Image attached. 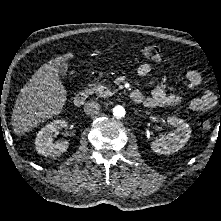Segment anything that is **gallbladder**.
Listing matches in <instances>:
<instances>
[{"mask_svg":"<svg viewBox=\"0 0 221 221\" xmlns=\"http://www.w3.org/2000/svg\"><path fill=\"white\" fill-rule=\"evenodd\" d=\"M68 70V65L66 63H62L60 66H59V74L60 75H64Z\"/></svg>","mask_w":221,"mask_h":221,"instance_id":"gallbladder-1","label":"gallbladder"}]
</instances>
